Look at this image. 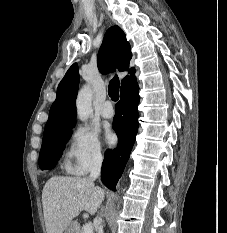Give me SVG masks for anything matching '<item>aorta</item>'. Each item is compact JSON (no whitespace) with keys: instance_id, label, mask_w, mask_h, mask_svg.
I'll list each match as a JSON object with an SVG mask.
<instances>
[{"instance_id":"aorta-1","label":"aorta","mask_w":227,"mask_h":233,"mask_svg":"<svg viewBox=\"0 0 227 233\" xmlns=\"http://www.w3.org/2000/svg\"><path fill=\"white\" fill-rule=\"evenodd\" d=\"M92 92L88 86H84L78 93L76 100L78 118L86 121L92 113Z\"/></svg>"}]
</instances>
